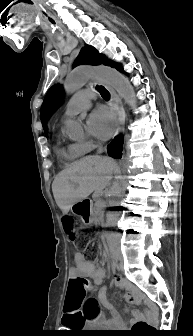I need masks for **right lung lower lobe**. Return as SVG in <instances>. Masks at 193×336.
Instances as JSON below:
<instances>
[{
  "instance_id": "98d812e1",
  "label": "right lung lower lobe",
  "mask_w": 193,
  "mask_h": 336,
  "mask_svg": "<svg viewBox=\"0 0 193 336\" xmlns=\"http://www.w3.org/2000/svg\"><path fill=\"white\" fill-rule=\"evenodd\" d=\"M122 144V138L116 137L107 147L109 156L112 158H121Z\"/></svg>"
}]
</instances>
